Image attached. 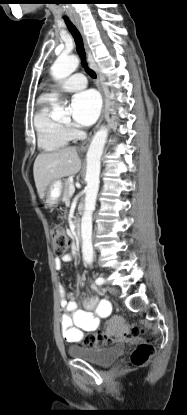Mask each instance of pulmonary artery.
I'll return each mask as SVG.
<instances>
[{
  "instance_id": "e3ab8cb5",
  "label": "pulmonary artery",
  "mask_w": 187,
  "mask_h": 415,
  "mask_svg": "<svg viewBox=\"0 0 187 415\" xmlns=\"http://www.w3.org/2000/svg\"><path fill=\"white\" fill-rule=\"evenodd\" d=\"M87 85L86 78L81 73H75L65 79L61 84L60 88L63 91H77L85 88Z\"/></svg>"
}]
</instances>
